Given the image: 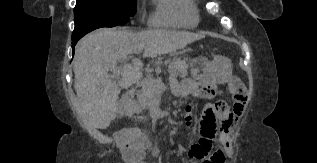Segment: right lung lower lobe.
<instances>
[{"instance_id":"obj_1","label":"right lung lower lobe","mask_w":317,"mask_h":163,"mask_svg":"<svg viewBox=\"0 0 317 163\" xmlns=\"http://www.w3.org/2000/svg\"><path fill=\"white\" fill-rule=\"evenodd\" d=\"M79 39H80V38L72 39V49H73V51H74V47H75V45H76V43H77V41H78Z\"/></svg>"}]
</instances>
